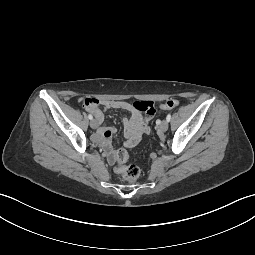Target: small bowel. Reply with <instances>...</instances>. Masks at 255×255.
<instances>
[{"label": "small bowel", "mask_w": 255, "mask_h": 255, "mask_svg": "<svg viewBox=\"0 0 255 255\" xmlns=\"http://www.w3.org/2000/svg\"><path fill=\"white\" fill-rule=\"evenodd\" d=\"M97 100V99H96ZM99 105H102L104 109H126L131 112L129 118L123 120L126 142L125 146L132 147L137 144L144 134H148L150 129L148 122L155 114L154 106L149 101H137L133 104L126 101H102L97 100V104L86 106V109L93 113L96 121L101 125L104 121L103 110L100 109ZM163 108V107H162ZM165 109V108H163ZM141 112L145 113L147 116L144 119ZM115 128L113 127H101L96 134V140L104 144L107 149L109 162L111 164L115 163L114 153L110 146V141L115 133Z\"/></svg>", "instance_id": "small-bowel-1"}]
</instances>
